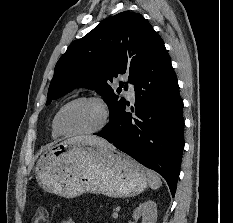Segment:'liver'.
Instances as JSON below:
<instances>
[{
  "instance_id": "obj_1",
  "label": "liver",
  "mask_w": 233,
  "mask_h": 223,
  "mask_svg": "<svg viewBox=\"0 0 233 223\" xmlns=\"http://www.w3.org/2000/svg\"><path fill=\"white\" fill-rule=\"evenodd\" d=\"M68 141H70V143H89V145H100V147L115 149L114 145L108 143L103 137H97V135H80V137H71Z\"/></svg>"
}]
</instances>
